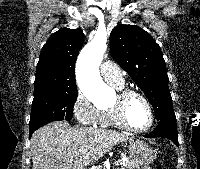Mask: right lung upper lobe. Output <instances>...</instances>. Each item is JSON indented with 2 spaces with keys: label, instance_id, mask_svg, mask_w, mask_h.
I'll return each instance as SVG.
<instances>
[{
  "label": "right lung upper lobe",
  "instance_id": "obj_1",
  "mask_svg": "<svg viewBox=\"0 0 200 169\" xmlns=\"http://www.w3.org/2000/svg\"><path fill=\"white\" fill-rule=\"evenodd\" d=\"M83 42L81 28L60 29L50 36L37 64L35 91L76 86L75 62Z\"/></svg>",
  "mask_w": 200,
  "mask_h": 169
}]
</instances>
